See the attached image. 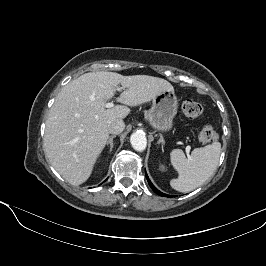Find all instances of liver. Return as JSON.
<instances>
[{
  "mask_svg": "<svg viewBox=\"0 0 266 266\" xmlns=\"http://www.w3.org/2000/svg\"><path fill=\"white\" fill-rule=\"evenodd\" d=\"M119 84L125 90L118 101L127 106L149 102L164 91L174 92L162 78L106 71L83 74L64 86L46 119L43 147L51 165L72 185L90 177L109 140L108 124L130 113L127 106L105 107Z\"/></svg>",
  "mask_w": 266,
  "mask_h": 266,
  "instance_id": "6515ba94",
  "label": "liver"
}]
</instances>
